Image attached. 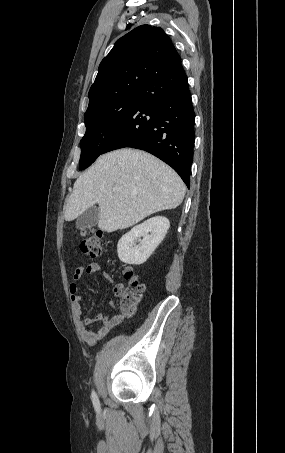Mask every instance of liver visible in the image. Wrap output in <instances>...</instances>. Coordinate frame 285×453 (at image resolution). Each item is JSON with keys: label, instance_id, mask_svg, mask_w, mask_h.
Here are the masks:
<instances>
[{"label": "liver", "instance_id": "obj_1", "mask_svg": "<svg viewBox=\"0 0 285 453\" xmlns=\"http://www.w3.org/2000/svg\"><path fill=\"white\" fill-rule=\"evenodd\" d=\"M185 192L179 175L164 162L147 152L123 148L103 154L77 178L64 216L72 221L98 204V227L110 233L178 207Z\"/></svg>", "mask_w": 285, "mask_h": 453}]
</instances>
